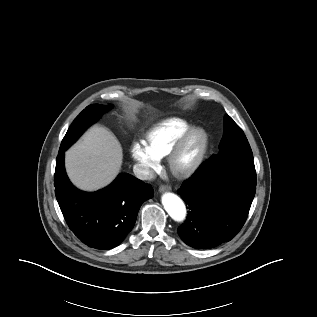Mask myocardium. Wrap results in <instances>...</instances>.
Returning a JSON list of instances; mask_svg holds the SVG:
<instances>
[{
    "label": "myocardium",
    "instance_id": "obj_1",
    "mask_svg": "<svg viewBox=\"0 0 317 317\" xmlns=\"http://www.w3.org/2000/svg\"><path fill=\"white\" fill-rule=\"evenodd\" d=\"M191 143L196 144V151L189 160L184 161V153ZM207 147L208 135L204 129L193 127L187 130L168 154V165L171 172L179 178L192 175L202 163Z\"/></svg>",
    "mask_w": 317,
    "mask_h": 317
}]
</instances>
